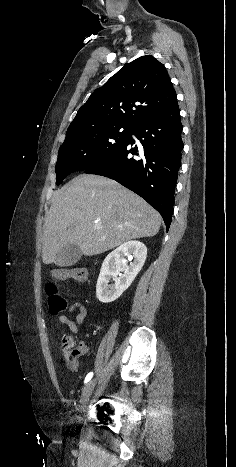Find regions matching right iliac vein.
Masks as SVG:
<instances>
[{
    "instance_id": "obj_1",
    "label": "right iliac vein",
    "mask_w": 236,
    "mask_h": 467,
    "mask_svg": "<svg viewBox=\"0 0 236 467\" xmlns=\"http://www.w3.org/2000/svg\"><path fill=\"white\" fill-rule=\"evenodd\" d=\"M96 380L93 379L87 383L85 388L82 391L81 397H80V403L78 406V411H83L87 402L89 401V398L92 394V391L95 387Z\"/></svg>"
}]
</instances>
